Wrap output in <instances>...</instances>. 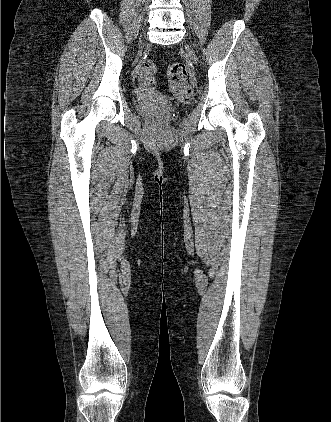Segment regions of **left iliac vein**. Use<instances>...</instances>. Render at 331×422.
<instances>
[{
    "instance_id": "4c4485c4",
    "label": "left iliac vein",
    "mask_w": 331,
    "mask_h": 422,
    "mask_svg": "<svg viewBox=\"0 0 331 422\" xmlns=\"http://www.w3.org/2000/svg\"><path fill=\"white\" fill-rule=\"evenodd\" d=\"M185 49H186L189 57L191 58V60L196 64L197 63V57H196L193 49L189 45H186Z\"/></svg>"
}]
</instances>
